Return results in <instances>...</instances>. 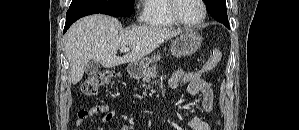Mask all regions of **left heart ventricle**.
<instances>
[{
    "instance_id": "1",
    "label": "left heart ventricle",
    "mask_w": 299,
    "mask_h": 130,
    "mask_svg": "<svg viewBox=\"0 0 299 130\" xmlns=\"http://www.w3.org/2000/svg\"><path fill=\"white\" fill-rule=\"evenodd\" d=\"M176 10L179 17L187 22H195L202 15V8L198 0H178Z\"/></svg>"
}]
</instances>
